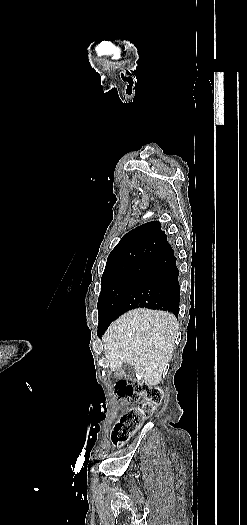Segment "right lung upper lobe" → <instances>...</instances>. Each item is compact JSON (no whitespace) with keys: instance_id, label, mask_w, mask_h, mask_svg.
<instances>
[{"instance_id":"obj_1","label":"right lung upper lobe","mask_w":247,"mask_h":525,"mask_svg":"<svg viewBox=\"0 0 247 525\" xmlns=\"http://www.w3.org/2000/svg\"><path fill=\"white\" fill-rule=\"evenodd\" d=\"M169 245L159 221L145 223L122 237L109 254L104 271L133 267L146 257L159 255Z\"/></svg>"}]
</instances>
